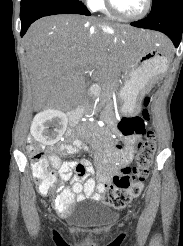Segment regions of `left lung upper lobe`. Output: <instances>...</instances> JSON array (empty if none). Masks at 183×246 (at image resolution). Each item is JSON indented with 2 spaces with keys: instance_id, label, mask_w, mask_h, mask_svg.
<instances>
[{
  "instance_id": "1",
  "label": "left lung upper lobe",
  "mask_w": 183,
  "mask_h": 246,
  "mask_svg": "<svg viewBox=\"0 0 183 246\" xmlns=\"http://www.w3.org/2000/svg\"><path fill=\"white\" fill-rule=\"evenodd\" d=\"M161 1H163V0H153L152 8L155 7L156 5H158Z\"/></svg>"
}]
</instances>
